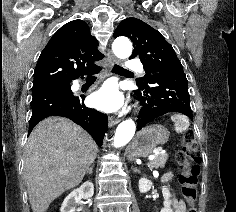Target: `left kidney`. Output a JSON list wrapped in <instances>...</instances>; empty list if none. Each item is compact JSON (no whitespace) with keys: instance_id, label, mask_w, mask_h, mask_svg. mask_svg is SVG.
<instances>
[{"instance_id":"5707ae66","label":"left kidney","mask_w":236,"mask_h":212,"mask_svg":"<svg viewBox=\"0 0 236 212\" xmlns=\"http://www.w3.org/2000/svg\"><path fill=\"white\" fill-rule=\"evenodd\" d=\"M152 187V182L146 178H141L139 180V191L141 193H146L148 192ZM162 194L164 197V207L161 209V212H173L170 205H171V200H170V190L166 187H162Z\"/></svg>"}]
</instances>
